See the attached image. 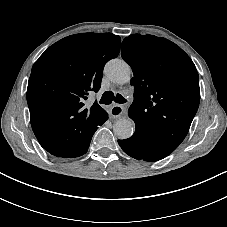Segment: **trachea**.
Segmentation results:
<instances>
[{
    "label": "trachea",
    "mask_w": 227,
    "mask_h": 227,
    "mask_svg": "<svg viewBox=\"0 0 227 227\" xmlns=\"http://www.w3.org/2000/svg\"><path fill=\"white\" fill-rule=\"evenodd\" d=\"M112 101L119 104H124L127 102V100L121 94H116L115 96L112 91H105L100 99V103L109 105L112 103Z\"/></svg>",
    "instance_id": "trachea-1"
}]
</instances>
